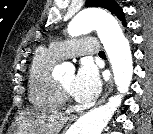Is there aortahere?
I'll list each match as a JSON object with an SVG mask.
<instances>
[{"instance_id": "aorta-1", "label": "aorta", "mask_w": 153, "mask_h": 134, "mask_svg": "<svg viewBox=\"0 0 153 134\" xmlns=\"http://www.w3.org/2000/svg\"><path fill=\"white\" fill-rule=\"evenodd\" d=\"M94 30L98 33L110 60L120 94L80 117L71 127V134H101L132 81L133 61L130 45L113 17L98 9H86L78 13L68 25V33L71 36H79ZM59 68L64 70L66 65L63 64Z\"/></svg>"}]
</instances>
